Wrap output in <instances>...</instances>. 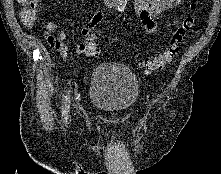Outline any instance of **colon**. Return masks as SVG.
Wrapping results in <instances>:
<instances>
[{
  "label": "colon",
  "mask_w": 221,
  "mask_h": 174,
  "mask_svg": "<svg viewBox=\"0 0 221 174\" xmlns=\"http://www.w3.org/2000/svg\"><path fill=\"white\" fill-rule=\"evenodd\" d=\"M22 6L21 19L24 25L31 26L36 19V6L39 0H17ZM199 0H189V7L193 11L196 9ZM195 24L193 15H189L173 31L169 44L161 52L150 57H146L140 61V66L146 71H157L164 68L176 56L178 48L186 35L192 30ZM82 55L93 57L97 54L98 44L96 42V34L90 35L83 33V41L79 46Z\"/></svg>",
  "instance_id": "colon-1"
}]
</instances>
